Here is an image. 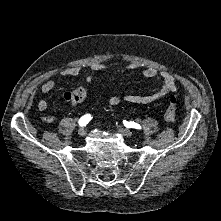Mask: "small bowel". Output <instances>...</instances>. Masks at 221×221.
<instances>
[{"label": "small bowel", "instance_id": "obj_1", "mask_svg": "<svg viewBox=\"0 0 221 221\" xmlns=\"http://www.w3.org/2000/svg\"><path fill=\"white\" fill-rule=\"evenodd\" d=\"M110 68L111 67L109 65L101 63V62H94L90 65V69L95 72L109 71ZM136 68H138V66L136 64H130L122 69H119L118 72L124 73L126 71L134 70ZM80 73H81V68L79 66H68V67L62 69L59 72V75L63 76V77L75 78V77H78L80 75ZM142 75L145 78H158L161 81V86L158 87L157 89H155L152 93H150L148 95L127 94V95L123 96L122 98L119 96H112L108 100V104L110 106H117L122 100L127 103H132V104H149L151 102L161 99V98H163L171 93H174L176 91L175 77L168 72H159L155 68H147V69L143 70ZM86 81L88 83H92L94 81V76L91 74L88 75L86 77ZM56 87H57V81L54 79H48L41 85L40 89L43 93H49V92H52ZM74 91L64 93L63 99L67 102H70L68 99V96ZM37 106H38L39 110L44 111L47 109L48 103L46 100L41 99L38 102ZM42 120L44 122L50 123V122H53L56 120V116L52 115V114H47L42 117Z\"/></svg>", "mask_w": 221, "mask_h": 221}]
</instances>
